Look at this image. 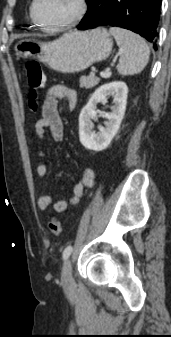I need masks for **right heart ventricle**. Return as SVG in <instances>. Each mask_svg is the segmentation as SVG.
I'll use <instances>...</instances> for the list:
<instances>
[{"label": "right heart ventricle", "mask_w": 171, "mask_h": 337, "mask_svg": "<svg viewBox=\"0 0 171 337\" xmlns=\"http://www.w3.org/2000/svg\"><path fill=\"white\" fill-rule=\"evenodd\" d=\"M30 17H31V16H30ZM31 22H32L33 25H36L32 19H31Z\"/></svg>", "instance_id": "e07e8e85"}]
</instances>
